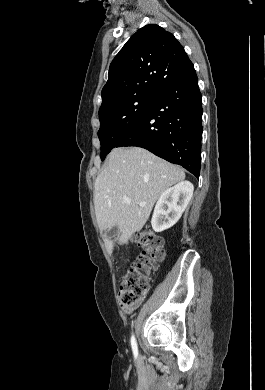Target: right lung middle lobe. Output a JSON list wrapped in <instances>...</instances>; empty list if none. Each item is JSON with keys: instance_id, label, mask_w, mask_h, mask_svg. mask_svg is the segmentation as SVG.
<instances>
[{"instance_id": "right-lung-middle-lobe-1", "label": "right lung middle lobe", "mask_w": 265, "mask_h": 390, "mask_svg": "<svg viewBox=\"0 0 265 390\" xmlns=\"http://www.w3.org/2000/svg\"><path fill=\"white\" fill-rule=\"evenodd\" d=\"M154 94H137L99 110L101 160L117 146L133 125L147 112Z\"/></svg>"}]
</instances>
